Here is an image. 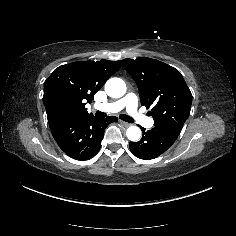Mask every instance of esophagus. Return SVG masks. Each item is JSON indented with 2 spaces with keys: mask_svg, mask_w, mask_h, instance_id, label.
<instances>
[{
  "mask_svg": "<svg viewBox=\"0 0 236 236\" xmlns=\"http://www.w3.org/2000/svg\"><path fill=\"white\" fill-rule=\"evenodd\" d=\"M119 123L122 124V125H124L125 127L130 126V123L124 122V121H122V120H119Z\"/></svg>",
  "mask_w": 236,
  "mask_h": 236,
  "instance_id": "34e87169",
  "label": "esophagus"
}]
</instances>
